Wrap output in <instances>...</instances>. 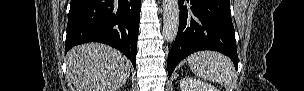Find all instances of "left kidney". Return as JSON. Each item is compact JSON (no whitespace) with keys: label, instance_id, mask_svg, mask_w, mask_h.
Masks as SVG:
<instances>
[{"label":"left kidney","instance_id":"1","mask_svg":"<svg viewBox=\"0 0 304 91\" xmlns=\"http://www.w3.org/2000/svg\"><path fill=\"white\" fill-rule=\"evenodd\" d=\"M181 91H219L211 84L193 78H183L180 81Z\"/></svg>","mask_w":304,"mask_h":91}]
</instances>
